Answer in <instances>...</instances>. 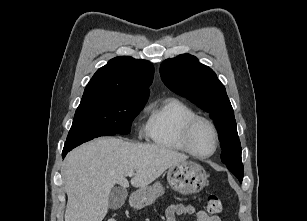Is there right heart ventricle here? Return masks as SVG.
Returning a JSON list of instances; mask_svg holds the SVG:
<instances>
[{
  "instance_id": "right-heart-ventricle-1",
  "label": "right heart ventricle",
  "mask_w": 307,
  "mask_h": 221,
  "mask_svg": "<svg viewBox=\"0 0 307 221\" xmlns=\"http://www.w3.org/2000/svg\"><path fill=\"white\" fill-rule=\"evenodd\" d=\"M195 115L190 106L176 98L154 102L149 107L145 134L159 147L185 151L180 141V133L184 123Z\"/></svg>"
}]
</instances>
